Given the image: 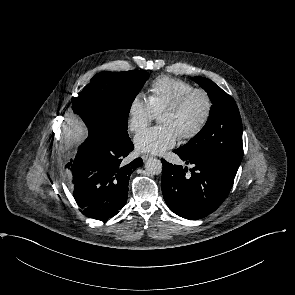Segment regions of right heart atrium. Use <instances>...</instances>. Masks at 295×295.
Instances as JSON below:
<instances>
[{"instance_id":"d8ad5b80","label":"right heart atrium","mask_w":295,"mask_h":295,"mask_svg":"<svg viewBox=\"0 0 295 295\" xmlns=\"http://www.w3.org/2000/svg\"><path fill=\"white\" fill-rule=\"evenodd\" d=\"M127 114L128 128L133 133L144 130L157 116L149 99L142 94H136L131 99Z\"/></svg>"}]
</instances>
